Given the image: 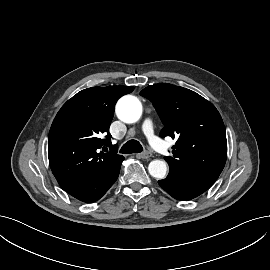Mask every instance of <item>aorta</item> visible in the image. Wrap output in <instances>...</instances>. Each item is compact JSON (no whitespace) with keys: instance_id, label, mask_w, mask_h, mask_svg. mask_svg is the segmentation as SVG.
I'll use <instances>...</instances> for the list:
<instances>
[{"instance_id":"762f6f07","label":"aorta","mask_w":270,"mask_h":270,"mask_svg":"<svg viewBox=\"0 0 270 270\" xmlns=\"http://www.w3.org/2000/svg\"><path fill=\"white\" fill-rule=\"evenodd\" d=\"M118 118L125 123H135L142 115V105L139 99L132 95L123 96L116 105ZM148 171L156 179H164L167 172L165 161L153 160L149 163Z\"/></svg>"}]
</instances>
